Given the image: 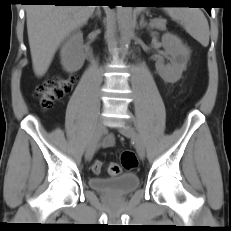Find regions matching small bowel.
I'll return each instance as SVG.
<instances>
[{
    "label": "small bowel",
    "instance_id": "small-bowel-1",
    "mask_svg": "<svg viewBox=\"0 0 231 231\" xmlns=\"http://www.w3.org/2000/svg\"><path fill=\"white\" fill-rule=\"evenodd\" d=\"M114 143V138L111 135H108L107 137L104 138V140L102 141V146L104 148L110 147L112 146Z\"/></svg>",
    "mask_w": 231,
    "mask_h": 231
}]
</instances>
